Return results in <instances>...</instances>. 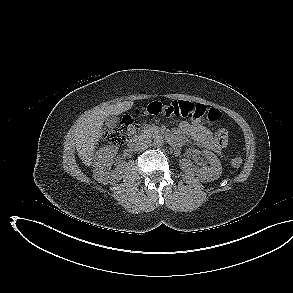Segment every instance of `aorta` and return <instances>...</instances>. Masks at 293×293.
I'll return each instance as SVG.
<instances>
[{
	"label": "aorta",
	"instance_id": "1",
	"mask_svg": "<svg viewBox=\"0 0 293 293\" xmlns=\"http://www.w3.org/2000/svg\"><path fill=\"white\" fill-rule=\"evenodd\" d=\"M164 143V139L162 137H156L154 139V145L159 147V146H162Z\"/></svg>",
	"mask_w": 293,
	"mask_h": 293
}]
</instances>
